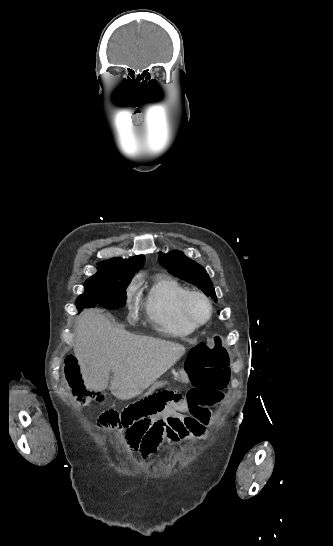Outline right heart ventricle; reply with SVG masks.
Returning a JSON list of instances; mask_svg holds the SVG:
<instances>
[{
    "label": "right heart ventricle",
    "instance_id": "1",
    "mask_svg": "<svg viewBox=\"0 0 333 546\" xmlns=\"http://www.w3.org/2000/svg\"><path fill=\"white\" fill-rule=\"evenodd\" d=\"M188 289L179 281L164 275L157 276L143 299L147 320L163 333L186 337L197 327L184 317L181 302Z\"/></svg>",
    "mask_w": 333,
    "mask_h": 546
}]
</instances>
